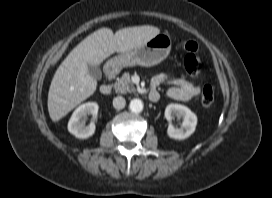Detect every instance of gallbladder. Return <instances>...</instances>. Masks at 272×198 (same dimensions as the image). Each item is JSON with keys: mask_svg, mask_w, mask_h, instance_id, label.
<instances>
[{"mask_svg": "<svg viewBox=\"0 0 272 198\" xmlns=\"http://www.w3.org/2000/svg\"><path fill=\"white\" fill-rule=\"evenodd\" d=\"M88 73L96 80H100L102 78V72L98 66L89 64Z\"/></svg>", "mask_w": 272, "mask_h": 198, "instance_id": "obj_1", "label": "gallbladder"}]
</instances>
